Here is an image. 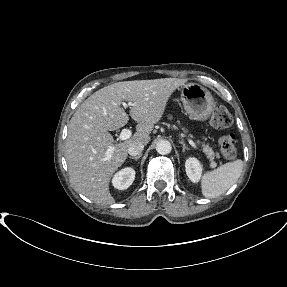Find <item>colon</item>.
Returning a JSON list of instances; mask_svg holds the SVG:
<instances>
[{
	"label": "colon",
	"instance_id": "colon-1",
	"mask_svg": "<svg viewBox=\"0 0 287 287\" xmlns=\"http://www.w3.org/2000/svg\"><path fill=\"white\" fill-rule=\"evenodd\" d=\"M233 119L227 108L218 106L210 119V127L213 129H225L232 125ZM219 149L221 155L228 160H232L237 155V140L234 134H226L219 139Z\"/></svg>",
	"mask_w": 287,
	"mask_h": 287
}]
</instances>
